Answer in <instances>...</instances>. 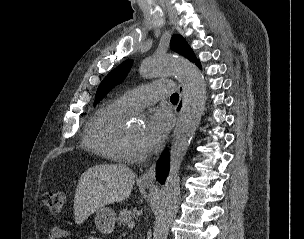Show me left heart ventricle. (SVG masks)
<instances>
[{
  "mask_svg": "<svg viewBox=\"0 0 304 239\" xmlns=\"http://www.w3.org/2000/svg\"><path fill=\"white\" fill-rule=\"evenodd\" d=\"M143 130H144V128L142 126L127 128L131 146L134 148V150H136L137 152H140V153H141V150L139 149V146H138V138L141 135Z\"/></svg>",
  "mask_w": 304,
  "mask_h": 239,
  "instance_id": "left-heart-ventricle-1",
  "label": "left heart ventricle"
}]
</instances>
